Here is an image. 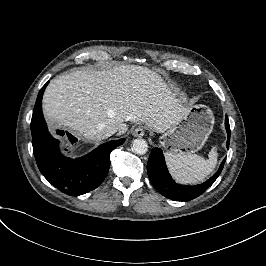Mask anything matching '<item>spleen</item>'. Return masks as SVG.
<instances>
[{
  "instance_id": "1",
  "label": "spleen",
  "mask_w": 266,
  "mask_h": 266,
  "mask_svg": "<svg viewBox=\"0 0 266 266\" xmlns=\"http://www.w3.org/2000/svg\"><path fill=\"white\" fill-rule=\"evenodd\" d=\"M208 159L196 154L165 153L169 171L176 182L181 184H196L204 179L215 169L217 164V148L212 147Z\"/></svg>"
}]
</instances>
